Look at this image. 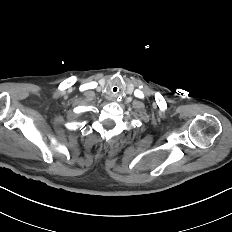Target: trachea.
<instances>
[{"mask_svg":"<svg viewBox=\"0 0 232 232\" xmlns=\"http://www.w3.org/2000/svg\"><path fill=\"white\" fill-rule=\"evenodd\" d=\"M120 87L119 86H117V85H114V86H112L111 88H110V92L112 93V94H118L119 92H120Z\"/></svg>","mask_w":232,"mask_h":232,"instance_id":"obj_1","label":"trachea"}]
</instances>
